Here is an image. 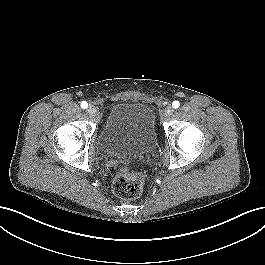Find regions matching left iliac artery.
<instances>
[{
    "label": "left iliac artery",
    "instance_id": "44dca946",
    "mask_svg": "<svg viewBox=\"0 0 265 265\" xmlns=\"http://www.w3.org/2000/svg\"><path fill=\"white\" fill-rule=\"evenodd\" d=\"M179 106H180L179 101H174V102L172 103V107H173L174 109H177Z\"/></svg>",
    "mask_w": 265,
    "mask_h": 265
}]
</instances>
